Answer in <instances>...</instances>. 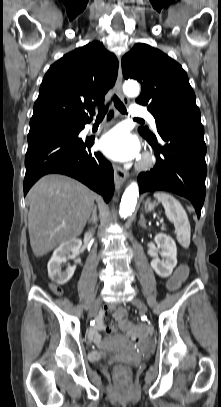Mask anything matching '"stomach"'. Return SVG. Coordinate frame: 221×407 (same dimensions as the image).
<instances>
[{
    "instance_id": "obj_1",
    "label": "stomach",
    "mask_w": 221,
    "mask_h": 407,
    "mask_svg": "<svg viewBox=\"0 0 221 407\" xmlns=\"http://www.w3.org/2000/svg\"><path fill=\"white\" fill-rule=\"evenodd\" d=\"M155 206H156L155 202L147 201L146 204H145V209L147 211H151V210H153L155 208Z\"/></svg>"
}]
</instances>
